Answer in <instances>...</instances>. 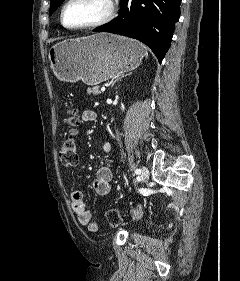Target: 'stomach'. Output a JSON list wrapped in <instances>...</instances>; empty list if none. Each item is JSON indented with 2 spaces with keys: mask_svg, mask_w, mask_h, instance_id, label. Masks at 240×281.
<instances>
[{
  "mask_svg": "<svg viewBox=\"0 0 240 281\" xmlns=\"http://www.w3.org/2000/svg\"><path fill=\"white\" fill-rule=\"evenodd\" d=\"M144 55L140 42L111 34L67 39L48 51L50 68L60 81L87 85L137 68Z\"/></svg>",
  "mask_w": 240,
  "mask_h": 281,
  "instance_id": "0dacf381",
  "label": "stomach"
}]
</instances>
